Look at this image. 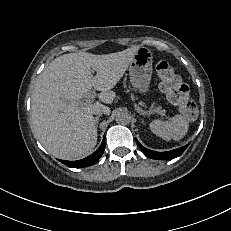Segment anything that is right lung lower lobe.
Wrapping results in <instances>:
<instances>
[{"label": "right lung lower lobe", "instance_id": "1", "mask_svg": "<svg viewBox=\"0 0 231 231\" xmlns=\"http://www.w3.org/2000/svg\"><path fill=\"white\" fill-rule=\"evenodd\" d=\"M104 149H105V138L103 139L100 147L90 156L77 161H65V160H60V161L66 166L72 168L88 167L95 164L100 159V157L104 152Z\"/></svg>", "mask_w": 231, "mask_h": 231}]
</instances>
